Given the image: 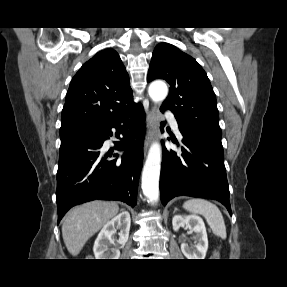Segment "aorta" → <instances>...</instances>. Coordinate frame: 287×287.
Here are the masks:
<instances>
[{"instance_id": "762f6f07", "label": "aorta", "mask_w": 287, "mask_h": 287, "mask_svg": "<svg viewBox=\"0 0 287 287\" xmlns=\"http://www.w3.org/2000/svg\"><path fill=\"white\" fill-rule=\"evenodd\" d=\"M148 93L152 101L161 102L166 98L168 88L164 82L156 81L150 84ZM160 168L161 146L159 143L154 142L149 149L142 172L143 194L152 203L157 202L159 198Z\"/></svg>"}]
</instances>
